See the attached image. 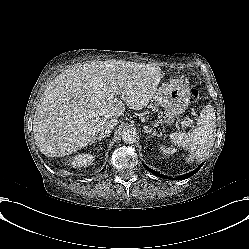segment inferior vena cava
I'll use <instances>...</instances> for the list:
<instances>
[{
    "label": "inferior vena cava",
    "mask_w": 249,
    "mask_h": 249,
    "mask_svg": "<svg viewBox=\"0 0 249 249\" xmlns=\"http://www.w3.org/2000/svg\"><path fill=\"white\" fill-rule=\"evenodd\" d=\"M117 122L118 120L117 119H111V120H107V121H104L102 124H101V127H100V135H103V134H109L112 132V130L115 128V126L117 125Z\"/></svg>",
    "instance_id": "obj_1"
}]
</instances>
